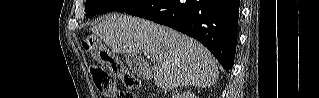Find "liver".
Segmentation results:
<instances>
[{
	"instance_id": "6515ba94",
	"label": "liver",
	"mask_w": 319,
	"mask_h": 98,
	"mask_svg": "<svg viewBox=\"0 0 319 98\" xmlns=\"http://www.w3.org/2000/svg\"><path fill=\"white\" fill-rule=\"evenodd\" d=\"M91 30L118 54L135 57L148 51L154 62L150 75L164 90L181 86L206 88L219 78L217 62L207 48L166 26L113 13Z\"/></svg>"
}]
</instances>
